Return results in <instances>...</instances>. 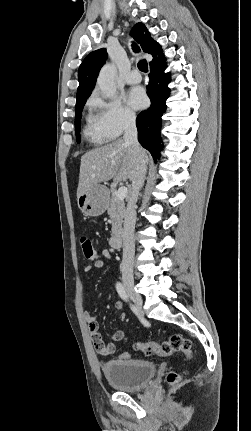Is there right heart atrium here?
<instances>
[{"instance_id": "1", "label": "right heart atrium", "mask_w": 251, "mask_h": 431, "mask_svg": "<svg viewBox=\"0 0 251 431\" xmlns=\"http://www.w3.org/2000/svg\"><path fill=\"white\" fill-rule=\"evenodd\" d=\"M89 106L93 110L96 130L106 139H114L135 125V113L118 98L105 99L95 93L89 100Z\"/></svg>"}]
</instances>
